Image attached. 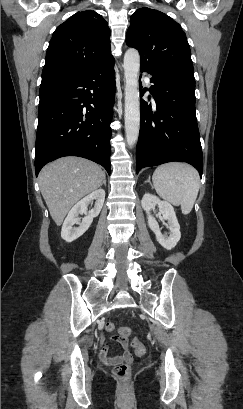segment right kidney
<instances>
[{
  "label": "right kidney",
  "mask_w": 243,
  "mask_h": 409,
  "mask_svg": "<svg viewBox=\"0 0 243 409\" xmlns=\"http://www.w3.org/2000/svg\"><path fill=\"white\" fill-rule=\"evenodd\" d=\"M95 200L94 208H92L88 215H86L78 228H73V225L78 222L79 214H86L88 205ZM105 200V191L103 189H97L91 194L80 200L69 211L61 230V237L66 242H72L82 236L90 227L93 219L97 217L102 209Z\"/></svg>",
  "instance_id": "ca27d5eb"
}]
</instances>
